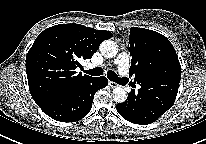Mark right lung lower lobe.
Listing matches in <instances>:
<instances>
[{
	"label": "right lung lower lobe",
	"instance_id": "1",
	"mask_svg": "<svg viewBox=\"0 0 206 144\" xmlns=\"http://www.w3.org/2000/svg\"><path fill=\"white\" fill-rule=\"evenodd\" d=\"M107 84L106 77L93 78L77 91L61 96L40 108L54 120L78 121L90 112L96 91L106 87Z\"/></svg>",
	"mask_w": 206,
	"mask_h": 144
}]
</instances>
